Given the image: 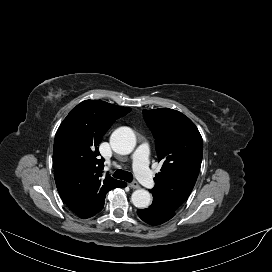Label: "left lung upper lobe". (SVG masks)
<instances>
[{
    "mask_svg": "<svg viewBox=\"0 0 272 272\" xmlns=\"http://www.w3.org/2000/svg\"><path fill=\"white\" fill-rule=\"evenodd\" d=\"M163 162L151 190L153 200L176 211L189 197L197 180L203 155L202 137L194 123L179 111L143 110ZM150 191V190H149Z\"/></svg>",
    "mask_w": 272,
    "mask_h": 272,
    "instance_id": "5c2ea615",
    "label": "left lung upper lobe"
}]
</instances>
